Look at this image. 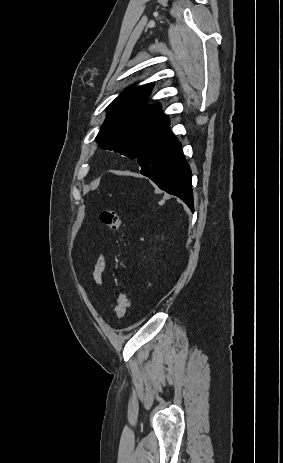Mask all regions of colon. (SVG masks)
<instances>
[{"label": "colon", "mask_w": 283, "mask_h": 463, "mask_svg": "<svg viewBox=\"0 0 283 463\" xmlns=\"http://www.w3.org/2000/svg\"><path fill=\"white\" fill-rule=\"evenodd\" d=\"M101 222L113 231H119L121 229V220L118 213L111 209L103 210L100 213ZM128 298L124 291H120L117 297V304L115 308L116 317L118 320H122L127 312Z\"/></svg>", "instance_id": "5ec220e1"}]
</instances>
